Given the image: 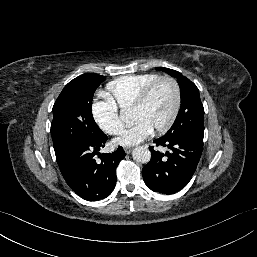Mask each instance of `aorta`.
I'll return each instance as SVG.
<instances>
[{"mask_svg":"<svg viewBox=\"0 0 257 257\" xmlns=\"http://www.w3.org/2000/svg\"><path fill=\"white\" fill-rule=\"evenodd\" d=\"M133 159L140 163H148L151 158V152L144 146L136 147L132 152Z\"/></svg>","mask_w":257,"mask_h":257,"instance_id":"obj_1","label":"aorta"}]
</instances>
